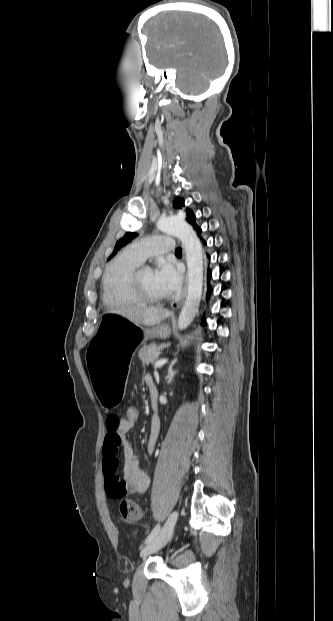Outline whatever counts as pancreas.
Instances as JSON below:
<instances>
[{
    "mask_svg": "<svg viewBox=\"0 0 333 621\" xmlns=\"http://www.w3.org/2000/svg\"><path fill=\"white\" fill-rule=\"evenodd\" d=\"M169 346L168 344H164L161 346H157L155 344L145 345L138 351V356L141 359L143 364L155 363L158 360L160 351Z\"/></svg>",
    "mask_w": 333,
    "mask_h": 621,
    "instance_id": "pancreas-1",
    "label": "pancreas"
}]
</instances>
